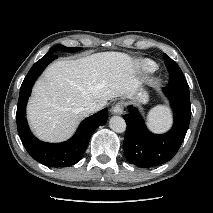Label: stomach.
<instances>
[{"label": "stomach", "instance_id": "1", "mask_svg": "<svg viewBox=\"0 0 213 213\" xmlns=\"http://www.w3.org/2000/svg\"><path fill=\"white\" fill-rule=\"evenodd\" d=\"M131 99L140 103H146L148 101V94L143 89H138Z\"/></svg>", "mask_w": 213, "mask_h": 213}]
</instances>
